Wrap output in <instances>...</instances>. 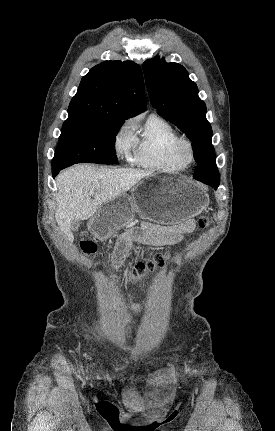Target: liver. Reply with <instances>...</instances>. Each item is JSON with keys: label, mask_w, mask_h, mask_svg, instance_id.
I'll return each mask as SVG.
<instances>
[{"label": "liver", "mask_w": 275, "mask_h": 431, "mask_svg": "<svg viewBox=\"0 0 275 431\" xmlns=\"http://www.w3.org/2000/svg\"><path fill=\"white\" fill-rule=\"evenodd\" d=\"M152 172L137 169L98 168L78 164L63 170L56 178V222L69 242H73L74 220L94 216L99 207L130 190ZM90 191H95L91 199Z\"/></svg>", "instance_id": "obj_1"}]
</instances>
